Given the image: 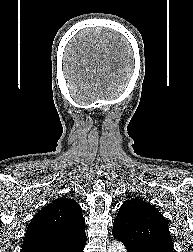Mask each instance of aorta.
I'll return each mask as SVG.
<instances>
[{"instance_id": "762f6f07", "label": "aorta", "mask_w": 193, "mask_h": 252, "mask_svg": "<svg viewBox=\"0 0 193 252\" xmlns=\"http://www.w3.org/2000/svg\"><path fill=\"white\" fill-rule=\"evenodd\" d=\"M108 252H126V248L122 242L113 241L108 246Z\"/></svg>"}]
</instances>
